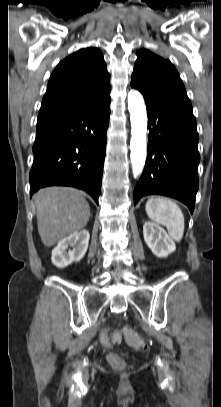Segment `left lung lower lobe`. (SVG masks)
Instances as JSON below:
<instances>
[{
  "label": "left lung lower lobe",
  "instance_id": "left-lung-lower-lobe-1",
  "mask_svg": "<svg viewBox=\"0 0 221 407\" xmlns=\"http://www.w3.org/2000/svg\"><path fill=\"white\" fill-rule=\"evenodd\" d=\"M148 154L134 190V204L151 194L173 197L194 209L198 191V133L189 98L183 94L145 97Z\"/></svg>",
  "mask_w": 221,
  "mask_h": 407
}]
</instances>
